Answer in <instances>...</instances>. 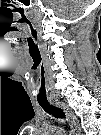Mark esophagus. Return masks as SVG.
<instances>
[{
    "instance_id": "obj_1",
    "label": "esophagus",
    "mask_w": 101,
    "mask_h": 135,
    "mask_svg": "<svg viewBox=\"0 0 101 135\" xmlns=\"http://www.w3.org/2000/svg\"><path fill=\"white\" fill-rule=\"evenodd\" d=\"M56 105L65 112L71 130L76 134H80L81 128H80L79 120L77 119L74 112L63 102H57Z\"/></svg>"
}]
</instances>
